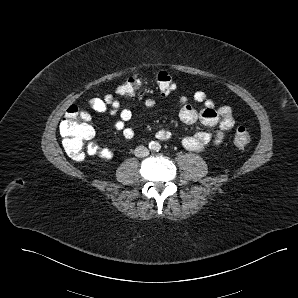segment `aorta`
Instances as JSON below:
<instances>
[{
  "instance_id": "1",
  "label": "aorta",
  "mask_w": 298,
  "mask_h": 298,
  "mask_svg": "<svg viewBox=\"0 0 298 298\" xmlns=\"http://www.w3.org/2000/svg\"><path fill=\"white\" fill-rule=\"evenodd\" d=\"M161 148L160 144L156 141H151L149 143V149L152 151V152H157L159 151Z\"/></svg>"
}]
</instances>
